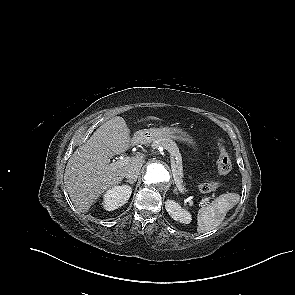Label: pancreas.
I'll use <instances>...</instances> for the list:
<instances>
[{
	"instance_id": "1",
	"label": "pancreas",
	"mask_w": 295,
	"mask_h": 295,
	"mask_svg": "<svg viewBox=\"0 0 295 295\" xmlns=\"http://www.w3.org/2000/svg\"><path fill=\"white\" fill-rule=\"evenodd\" d=\"M158 146H163L166 150H168L172 154V156H175L177 158V162L175 163V166L173 168L174 169L173 174H174V177L180 182L183 192H185L186 190L184 188V185L182 184L183 183L182 157L176 143L171 139H162V140L153 142L152 144L153 148H156Z\"/></svg>"
}]
</instances>
